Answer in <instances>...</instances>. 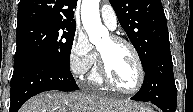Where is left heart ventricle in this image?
Instances as JSON below:
<instances>
[{"instance_id":"1","label":"left heart ventricle","mask_w":193,"mask_h":112,"mask_svg":"<svg viewBox=\"0 0 193 112\" xmlns=\"http://www.w3.org/2000/svg\"><path fill=\"white\" fill-rule=\"evenodd\" d=\"M111 79L121 88L131 89L138 78L137 65L131 50L107 38L98 46Z\"/></svg>"}]
</instances>
